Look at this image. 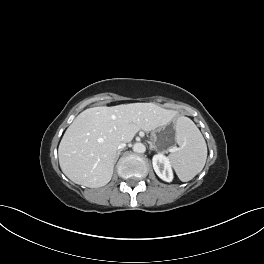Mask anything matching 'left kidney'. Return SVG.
<instances>
[{
  "instance_id": "left-kidney-1",
  "label": "left kidney",
  "mask_w": 264,
  "mask_h": 264,
  "mask_svg": "<svg viewBox=\"0 0 264 264\" xmlns=\"http://www.w3.org/2000/svg\"><path fill=\"white\" fill-rule=\"evenodd\" d=\"M153 168L156 174L164 181L171 182L173 180V172L169 159L162 153L156 154L152 159Z\"/></svg>"
}]
</instances>
